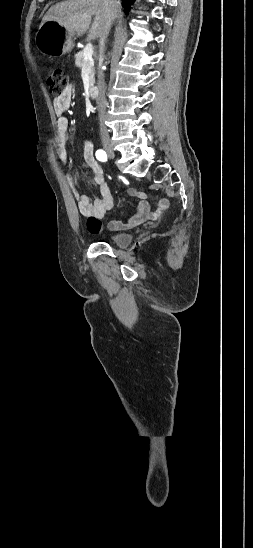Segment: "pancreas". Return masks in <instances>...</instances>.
I'll use <instances>...</instances> for the list:
<instances>
[{
	"instance_id": "cf45deb5",
	"label": "pancreas",
	"mask_w": 253,
	"mask_h": 548,
	"mask_svg": "<svg viewBox=\"0 0 253 548\" xmlns=\"http://www.w3.org/2000/svg\"><path fill=\"white\" fill-rule=\"evenodd\" d=\"M75 64L78 68H83V67L87 68V70L89 72V76H90V84H91V86H93L94 83H95L94 60L91 58L87 61H84L83 51H80V52L75 54Z\"/></svg>"
}]
</instances>
